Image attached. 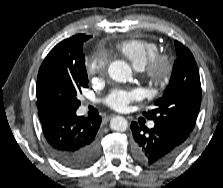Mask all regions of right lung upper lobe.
Here are the masks:
<instances>
[{
    "mask_svg": "<svg viewBox=\"0 0 223 188\" xmlns=\"http://www.w3.org/2000/svg\"><path fill=\"white\" fill-rule=\"evenodd\" d=\"M85 36V34H78L57 44L44 59L38 73L37 83L42 79L45 73L57 68L61 64L64 65L69 61H74L77 44ZM37 107L38 112L48 110L39 104H37Z\"/></svg>",
    "mask_w": 223,
    "mask_h": 188,
    "instance_id": "cb5924a9",
    "label": "right lung upper lobe"
}]
</instances>
